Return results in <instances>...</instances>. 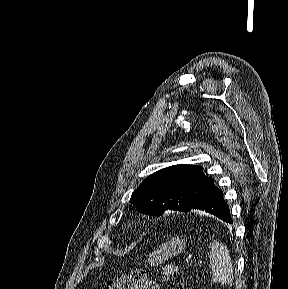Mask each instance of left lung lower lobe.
Wrapping results in <instances>:
<instances>
[{
  "label": "left lung lower lobe",
  "instance_id": "left-lung-lower-lobe-1",
  "mask_svg": "<svg viewBox=\"0 0 288 289\" xmlns=\"http://www.w3.org/2000/svg\"><path fill=\"white\" fill-rule=\"evenodd\" d=\"M192 209L211 213L227 223H233L230 216L229 206L223 198V193L215 185H213L212 188L207 191L190 210Z\"/></svg>",
  "mask_w": 288,
  "mask_h": 289
}]
</instances>
